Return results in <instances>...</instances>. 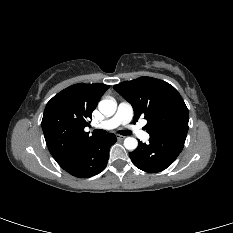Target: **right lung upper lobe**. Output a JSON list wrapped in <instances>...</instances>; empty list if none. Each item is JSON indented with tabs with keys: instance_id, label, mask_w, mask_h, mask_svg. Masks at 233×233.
I'll use <instances>...</instances> for the list:
<instances>
[{
	"instance_id": "1",
	"label": "right lung upper lobe",
	"mask_w": 233,
	"mask_h": 233,
	"mask_svg": "<svg viewBox=\"0 0 233 233\" xmlns=\"http://www.w3.org/2000/svg\"><path fill=\"white\" fill-rule=\"evenodd\" d=\"M108 88L100 83H79L62 90L47 103L42 129L49 151L60 166L98 137L89 136L84 128Z\"/></svg>"
}]
</instances>
